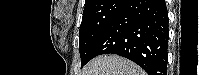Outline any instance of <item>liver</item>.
Masks as SVG:
<instances>
[{
	"label": "liver",
	"instance_id": "liver-1",
	"mask_svg": "<svg viewBox=\"0 0 199 75\" xmlns=\"http://www.w3.org/2000/svg\"><path fill=\"white\" fill-rule=\"evenodd\" d=\"M81 75H146L132 61L117 55H102L91 60Z\"/></svg>",
	"mask_w": 199,
	"mask_h": 75
}]
</instances>
